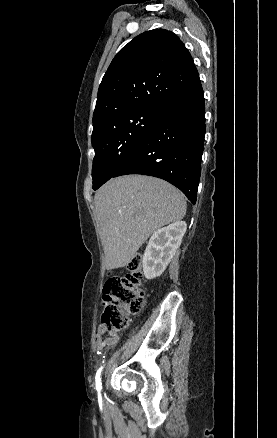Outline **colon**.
Here are the masks:
<instances>
[{"instance_id":"colon-1","label":"colon","mask_w":277,"mask_h":438,"mask_svg":"<svg viewBox=\"0 0 277 438\" xmlns=\"http://www.w3.org/2000/svg\"><path fill=\"white\" fill-rule=\"evenodd\" d=\"M129 276L109 277L107 286L99 287V294L107 298L108 306L99 321V332L123 330L127 327L133 315L141 311L145 291L141 287L140 261L133 260L129 264Z\"/></svg>"}]
</instances>
